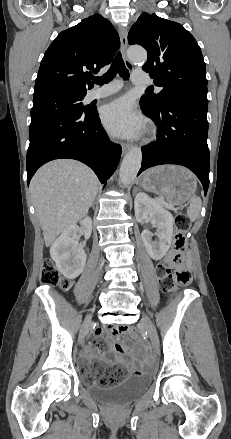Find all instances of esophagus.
<instances>
[{
    "label": "esophagus",
    "mask_w": 231,
    "mask_h": 439,
    "mask_svg": "<svg viewBox=\"0 0 231 439\" xmlns=\"http://www.w3.org/2000/svg\"><path fill=\"white\" fill-rule=\"evenodd\" d=\"M118 32H119L120 41H121V50H122V56H123L124 63L126 65V67L132 71L134 66L129 61V59L127 57V45H128L127 30L124 27L119 26ZM129 148H130V146L128 144H123L122 145L123 154H125L129 150Z\"/></svg>",
    "instance_id": "esophagus-1"
}]
</instances>
